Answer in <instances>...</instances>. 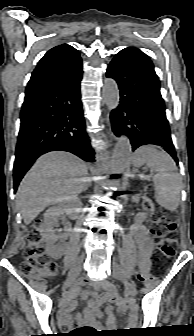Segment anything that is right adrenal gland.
I'll return each mask as SVG.
<instances>
[{
  "label": "right adrenal gland",
  "mask_w": 194,
  "mask_h": 336,
  "mask_svg": "<svg viewBox=\"0 0 194 336\" xmlns=\"http://www.w3.org/2000/svg\"><path fill=\"white\" fill-rule=\"evenodd\" d=\"M87 183H86V187H85V190H87L90 186H91V180L90 178H87Z\"/></svg>",
  "instance_id": "right-adrenal-gland-1"
}]
</instances>
